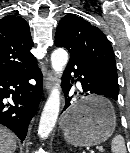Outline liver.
<instances>
[{"instance_id":"1","label":"liver","mask_w":130,"mask_h":153,"mask_svg":"<svg viewBox=\"0 0 130 153\" xmlns=\"http://www.w3.org/2000/svg\"><path fill=\"white\" fill-rule=\"evenodd\" d=\"M16 147V136L7 128L0 126V153H14Z\"/></svg>"}]
</instances>
